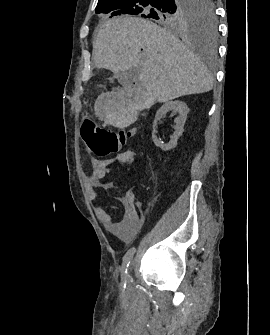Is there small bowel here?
<instances>
[{
	"label": "small bowel",
	"mask_w": 270,
	"mask_h": 335,
	"mask_svg": "<svg viewBox=\"0 0 270 335\" xmlns=\"http://www.w3.org/2000/svg\"><path fill=\"white\" fill-rule=\"evenodd\" d=\"M134 160V152L131 150L123 151L110 159L90 160L91 169L86 176L90 194L96 195L95 188H112L111 184H103L101 180L106 176L112 166L131 163ZM124 208V213L119 221H115L112 215L101 207H95L96 217L104 226L116 237L124 241L132 240L143 227V216L137 211L134 193L131 189L122 192L118 197Z\"/></svg>",
	"instance_id": "obj_1"
}]
</instances>
